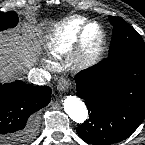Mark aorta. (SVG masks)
Masks as SVG:
<instances>
[{
    "mask_svg": "<svg viewBox=\"0 0 145 145\" xmlns=\"http://www.w3.org/2000/svg\"><path fill=\"white\" fill-rule=\"evenodd\" d=\"M64 110L76 123H83L88 118V110L85 103L76 96H67L64 100Z\"/></svg>",
    "mask_w": 145,
    "mask_h": 145,
    "instance_id": "762f6f07",
    "label": "aorta"
}]
</instances>
